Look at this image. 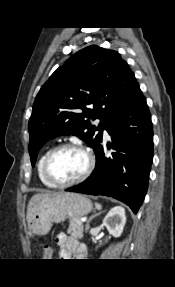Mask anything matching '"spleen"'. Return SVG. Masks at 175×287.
<instances>
[{"mask_svg": "<svg viewBox=\"0 0 175 287\" xmlns=\"http://www.w3.org/2000/svg\"><path fill=\"white\" fill-rule=\"evenodd\" d=\"M95 207H96L97 209H101V208H102V206H101L99 203H95Z\"/></svg>", "mask_w": 175, "mask_h": 287, "instance_id": "3e777b00", "label": "spleen"}]
</instances>
